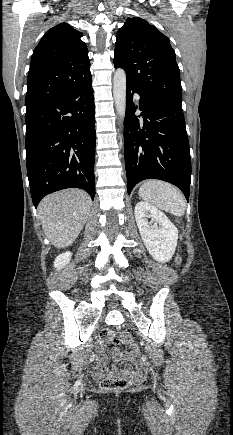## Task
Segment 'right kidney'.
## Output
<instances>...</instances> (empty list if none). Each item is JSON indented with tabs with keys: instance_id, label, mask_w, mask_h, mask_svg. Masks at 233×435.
Returning <instances> with one entry per match:
<instances>
[{
	"instance_id": "ca27d5eb",
	"label": "right kidney",
	"mask_w": 233,
	"mask_h": 435,
	"mask_svg": "<svg viewBox=\"0 0 233 435\" xmlns=\"http://www.w3.org/2000/svg\"><path fill=\"white\" fill-rule=\"evenodd\" d=\"M71 257H72V253L69 251L60 254L59 256L56 257L54 261V267L57 269H61L62 267H64L70 262Z\"/></svg>"
}]
</instances>
